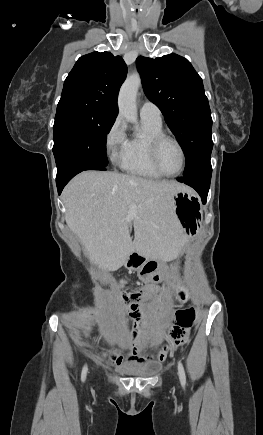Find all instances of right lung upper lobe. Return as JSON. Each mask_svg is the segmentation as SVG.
Returning a JSON list of instances; mask_svg holds the SVG:
<instances>
[{
    "label": "right lung upper lobe",
    "mask_w": 263,
    "mask_h": 435,
    "mask_svg": "<svg viewBox=\"0 0 263 435\" xmlns=\"http://www.w3.org/2000/svg\"><path fill=\"white\" fill-rule=\"evenodd\" d=\"M127 74L122 57L93 52L80 57L67 76L58 107L83 105L117 116V97Z\"/></svg>",
    "instance_id": "obj_1"
}]
</instances>
